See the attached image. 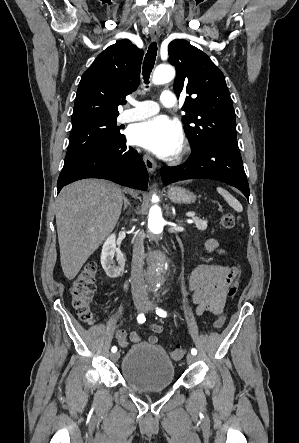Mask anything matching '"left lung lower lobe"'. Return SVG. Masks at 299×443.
I'll use <instances>...</instances> for the list:
<instances>
[{
	"instance_id": "obj_1",
	"label": "left lung lower lobe",
	"mask_w": 299,
	"mask_h": 443,
	"mask_svg": "<svg viewBox=\"0 0 299 443\" xmlns=\"http://www.w3.org/2000/svg\"><path fill=\"white\" fill-rule=\"evenodd\" d=\"M165 185L185 179L208 178L238 188L249 200V185L237 147L212 142L192 149L189 159L182 165L161 168Z\"/></svg>"
}]
</instances>
